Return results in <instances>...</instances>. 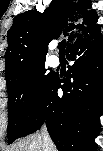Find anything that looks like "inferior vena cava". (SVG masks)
<instances>
[{
    "label": "inferior vena cava",
    "instance_id": "602c4592",
    "mask_svg": "<svg viewBox=\"0 0 103 151\" xmlns=\"http://www.w3.org/2000/svg\"><path fill=\"white\" fill-rule=\"evenodd\" d=\"M41 137H42V142H43V151H48V146L50 144H53V142L51 138L49 137V134L45 126H43L42 128Z\"/></svg>",
    "mask_w": 103,
    "mask_h": 151
}]
</instances>
